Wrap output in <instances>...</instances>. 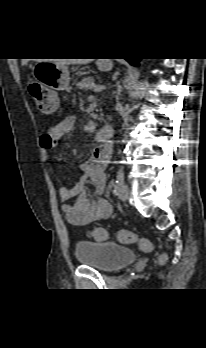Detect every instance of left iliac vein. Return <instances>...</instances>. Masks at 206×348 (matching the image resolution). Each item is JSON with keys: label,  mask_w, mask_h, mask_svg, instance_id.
Wrapping results in <instances>:
<instances>
[{"label": "left iliac vein", "mask_w": 206, "mask_h": 348, "mask_svg": "<svg viewBox=\"0 0 206 348\" xmlns=\"http://www.w3.org/2000/svg\"><path fill=\"white\" fill-rule=\"evenodd\" d=\"M130 190L127 185H123L118 193V197L122 201H126L129 198Z\"/></svg>", "instance_id": "obj_1"}]
</instances>
